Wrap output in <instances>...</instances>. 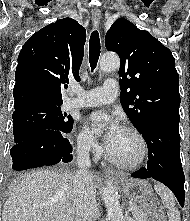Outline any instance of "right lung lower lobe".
I'll use <instances>...</instances> for the list:
<instances>
[{
	"instance_id": "obj_1",
	"label": "right lung lower lobe",
	"mask_w": 190,
	"mask_h": 221,
	"mask_svg": "<svg viewBox=\"0 0 190 221\" xmlns=\"http://www.w3.org/2000/svg\"><path fill=\"white\" fill-rule=\"evenodd\" d=\"M72 128L61 130H41L34 133L29 138L15 144L10 155L13 159L14 170H26L41 167L44 165H54L59 162H70L72 160V146L65 133L71 132Z\"/></svg>"
}]
</instances>
